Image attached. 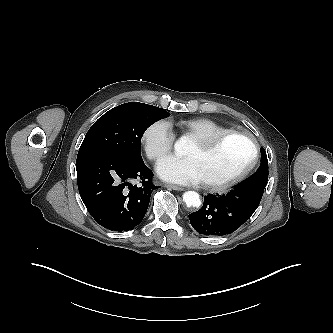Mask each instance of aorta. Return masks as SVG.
Here are the masks:
<instances>
[{
    "label": "aorta",
    "mask_w": 333,
    "mask_h": 333,
    "mask_svg": "<svg viewBox=\"0 0 333 333\" xmlns=\"http://www.w3.org/2000/svg\"><path fill=\"white\" fill-rule=\"evenodd\" d=\"M187 141L184 137H181L176 141L174 147L177 155H182L184 153ZM183 201L187 207L198 208L201 205V200L199 194L195 191H187L183 194Z\"/></svg>",
    "instance_id": "obj_1"
}]
</instances>
